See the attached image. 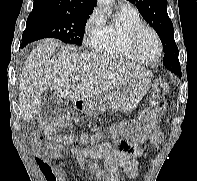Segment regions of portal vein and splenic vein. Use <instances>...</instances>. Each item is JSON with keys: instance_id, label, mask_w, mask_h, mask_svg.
<instances>
[{"instance_id": "18ae733b", "label": "portal vein and splenic vein", "mask_w": 197, "mask_h": 181, "mask_svg": "<svg viewBox=\"0 0 197 181\" xmlns=\"http://www.w3.org/2000/svg\"><path fill=\"white\" fill-rule=\"evenodd\" d=\"M72 79L74 81H84L85 79L83 77H81L80 75H75L72 77Z\"/></svg>"}]
</instances>
